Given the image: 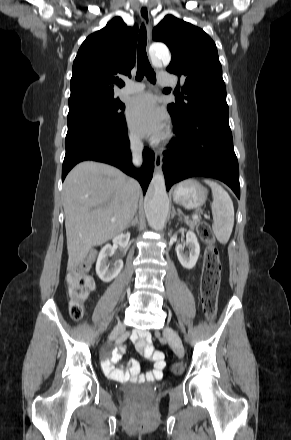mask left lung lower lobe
<instances>
[{
    "instance_id": "1",
    "label": "left lung lower lobe",
    "mask_w": 291,
    "mask_h": 440,
    "mask_svg": "<svg viewBox=\"0 0 291 440\" xmlns=\"http://www.w3.org/2000/svg\"><path fill=\"white\" fill-rule=\"evenodd\" d=\"M173 119V118H172ZM177 135L163 153L167 190L183 179L205 176L226 183L240 198L239 166L229 127V113L200 112L189 119H173Z\"/></svg>"
}]
</instances>
